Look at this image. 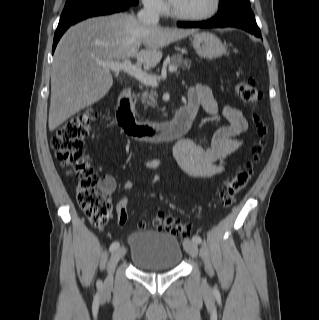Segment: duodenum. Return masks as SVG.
Masks as SVG:
<instances>
[{
    "instance_id": "410a0bca",
    "label": "duodenum",
    "mask_w": 319,
    "mask_h": 320,
    "mask_svg": "<svg viewBox=\"0 0 319 320\" xmlns=\"http://www.w3.org/2000/svg\"><path fill=\"white\" fill-rule=\"evenodd\" d=\"M194 116V111L188 106H183L170 122H138L133 115L130 90H124L119 97L117 123L127 136L137 141L163 142L177 138L190 128Z\"/></svg>"
}]
</instances>
